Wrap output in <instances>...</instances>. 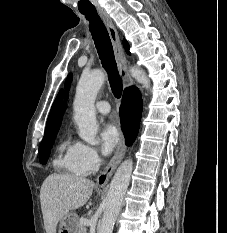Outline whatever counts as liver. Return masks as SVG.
<instances>
[{
    "mask_svg": "<svg viewBox=\"0 0 227 233\" xmlns=\"http://www.w3.org/2000/svg\"><path fill=\"white\" fill-rule=\"evenodd\" d=\"M94 183L86 178L50 174L40 190V202L46 233H56L60 222L70 211L86 204Z\"/></svg>",
    "mask_w": 227,
    "mask_h": 233,
    "instance_id": "liver-1",
    "label": "liver"
}]
</instances>
